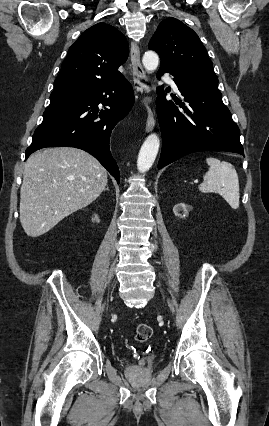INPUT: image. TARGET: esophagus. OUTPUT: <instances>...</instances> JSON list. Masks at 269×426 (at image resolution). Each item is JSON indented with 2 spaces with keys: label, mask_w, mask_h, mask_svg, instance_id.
<instances>
[{
  "label": "esophagus",
  "mask_w": 269,
  "mask_h": 426,
  "mask_svg": "<svg viewBox=\"0 0 269 426\" xmlns=\"http://www.w3.org/2000/svg\"><path fill=\"white\" fill-rule=\"evenodd\" d=\"M130 56H131L132 69L134 72V83L137 85V88L139 91L147 92L148 87L143 82L144 80H146V76H145L144 69L141 65L140 51L136 42L131 43ZM143 104L145 105L148 112L147 121H146V131L150 132L154 129L155 119L146 100L143 101Z\"/></svg>",
  "instance_id": "esophagus-1"
}]
</instances>
